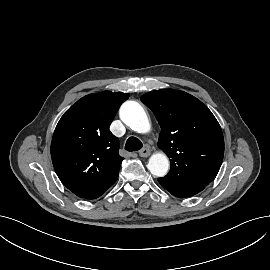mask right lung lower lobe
<instances>
[{
    "instance_id": "obj_1",
    "label": "right lung lower lobe",
    "mask_w": 270,
    "mask_h": 270,
    "mask_svg": "<svg viewBox=\"0 0 270 270\" xmlns=\"http://www.w3.org/2000/svg\"><path fill=\"white\" fill-rule=\"evenodd\" d=\"M105 191H106V190H105ZM105 191H103V192H101V193H99V194H95V195H91V196L85 197V198H87V199H95V198L101 196Z\"/></svg>"
}]
</instances>
